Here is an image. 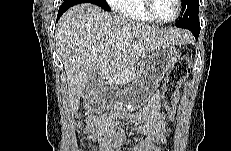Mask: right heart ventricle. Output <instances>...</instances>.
I'll list each match as a JSON object with an SVG mask.
<instances>
[{
	"mask_svg": "<svg viewBox=\"0 0 231 151\" xmlns=\"http://www.w3.org/2000/svg\"><path fill=\"white\" fill-rule=\"evenodd\" d=\"M115 10L130 22L154 23L144 10V0H121Z\"/></svg>",
	"mask_w": 231,
	"mask_h": 151,
	"instance_id": "e07e8e85",
	"label": "right heart ventricle"
}]
</instances>
